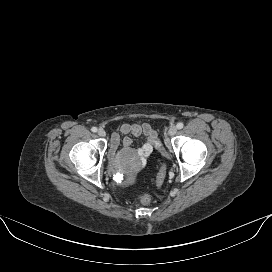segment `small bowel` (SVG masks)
Returning a JSON list of instances; mask_svg holds the SVG:
<instances>
[{"label": "small bowel", "instance_id": "obj_1", "mask_svg": "<svg viewBox=\"0 0 272 272\" xmlns=\"http://www.w3.org/2000/svg\"><path fill=\"white\" fill-rule=\"evenodd\" d=\"M130 136L144 138L143 144L133 150L131 149L132 139ZM157 144V133L148 124H123L118 131H114L111 135V154H114L120 147L125 152H134L141 159L147 158Z\"/></svg>", "mask_w": 272, "mask_h": 272}]
</instances>
